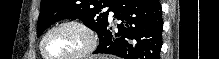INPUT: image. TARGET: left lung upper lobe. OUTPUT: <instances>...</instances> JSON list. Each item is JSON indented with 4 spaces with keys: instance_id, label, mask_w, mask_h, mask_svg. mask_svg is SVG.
<instances>
[{
    "instance_id": "obj_1",
    "label": "left lung upper lobe",
    "mask_w": 219,
    "mask_h": 59,
    "mask_svg": "<svg viewBox=\"0 0 219 59\" xmlns=\"http://www.w3.org/2000/svg\"><path fill=\"white\" fill-rule=\"evenodd\" d=\"M114 0H42L37 24V36L54 22L79 18L100 37L109 20V11ZM109 7L107 11L102 9Z\"/></svg>"
}]
</instances>
